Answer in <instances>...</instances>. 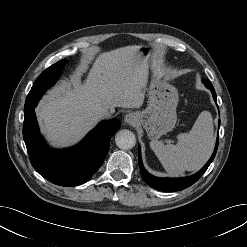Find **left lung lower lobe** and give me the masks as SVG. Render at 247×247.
<instances>
[{"instance_id":"obj_1","label":"left lung lower lobe","mask_w":247,"mask_h":247,"mask_svg":"<svg viewBox=\"0 0 247 247\" xmlns=\"http://www.w3.org/2000/svg\"><path fill=\"white\" fill-rule=\"evenodd\" d=\"M202 81H203L204 85L211 90L213 98H214L215 102L217 103L216 93H215V90H214L212 84L210 83V81L207 79H203ZM219 125H220V120H219ZM217 148H218V137H217L214 152H213L211 158L209 159V161L206 163V165L200 171H198L196 174L189 176V177H184V178H158V177L152 176L151 174H149L145 170V168L142 164L140 151H139L138 162H139V166H140L141 176H142L143 180L149 186H151L154 189H157L160 191H165V192H174V191L183 190V189L191 186L192 184H194L203 175V173L207 170V168L209 167V165L213 161L215 154H216V151H217Z\"/></svg>"}]
</instances>
